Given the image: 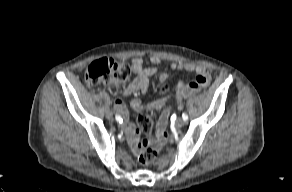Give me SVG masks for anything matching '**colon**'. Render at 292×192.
Instances as JSON below:
<instances>
[{
    "instance_id": "1",
    "label": "colon",
    "mask_w": 292,
    "mask_h": 192,
    "mask_svg": "<svg viewBox=\"0 0 292 192\" xmlns=\"http://www.w3.org/2000/svg\"><path fill=\"white\" fill-rule=\"evenodd\" d=\"M129 75L130 68L126 63L111 58H102L88 66L85 72V80L89 85L120 87L129 78ZM137 122L138 126L147 133L152 125L151 113L142 112L139 114ZM157 156L158 149L147 141L139 152L138 160L142 165H150L156 160Z\"/></svg>"
}]
</instances>
